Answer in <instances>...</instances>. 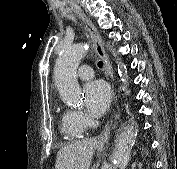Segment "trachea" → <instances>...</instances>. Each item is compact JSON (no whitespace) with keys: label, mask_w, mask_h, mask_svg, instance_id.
I'll use <instances>...</instances> for the list:
<instances>
[{"label":"trachea","mask_w":177,"mask_h":169,"mask_svg":"<svg viewBox=\"0 0 177 169\" xmlns=\"http://www.w3.org/2000/svg\"><path fill=\"white\" fill-rule=\"evenodd\" d=\"M102 66H103L102 61H99V62H98V67H99V68H102Z\"/></svg>","instance_id":"trachea-1"}]
</instances>
